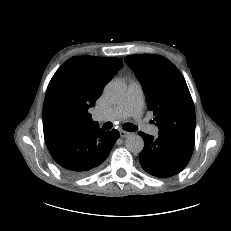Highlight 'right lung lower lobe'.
Masks as SVG:
<instances>
[{
  "label": "right lung lower lobe",
  "mask_w": 231,
  "mask_h": 231,
  "mask_svg": "<svg viewBox=\"0 0 231 231\" xmlns=\"http://www.w3.org/2000/svg\"><path fill=\"white\" fill-rule=\"evenodd\" d=\"M119 132L103 131L99 127L45 137L53 159L71 177H82L95 172L108 157Z\"/></svg>",
  "instance_id": "obj_1"
}]
</instances>
